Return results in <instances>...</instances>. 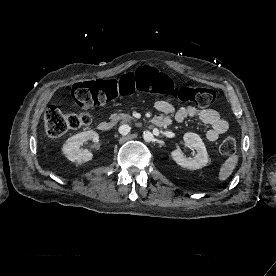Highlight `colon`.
Returning a JSON list of instances; mask_svg holds the SVG:
<instances>
[{
	"instance_id": "obj_1",
	"label": "colon",
	"mask_w": 276,
	"mask_h": 276,
	"mask_svg": "<svg viewBox=\"0 0 276 276\" xmlns=\"http://www.w3.org/2000/svg\"><path fill=\"white\" fill-rule=\"evenodd\" d=\"M135 92L171 96L180 102L194 103L208 107L216 100V93L209 88L176 87L166 74L153 67L143 66L133 73L123 75L118 80L79 82L71 90L74 102L83 110L79 113H65L51 106L45 113L46 133L51 138L64 135L69 130L89 125L91 115L86 110L103 106L119 97ZM220 152L232 155L236 150V140L228 136L220 144Z\"/></svg>"
}]
</instances>
